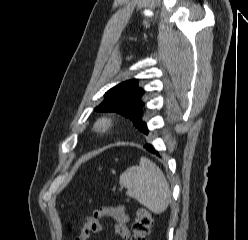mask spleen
Returning <instances> with one entry per match:
<instances>
[{
    "instance_id": "1",
    "label": "spleen",
    "mask_w": 248,
    "mask_h": 240,
    "mask_svg": "<svg viewBox=\"0 0 248 240\" xmlns=\"http://www.w3.org/2000/svg\"><path fill=\"white\" fill-rule=\"evenodd\" d=\"M120 185L127 189V196L155 214L163 213L171 202L169 184L163 172L145 157H141L139 166H132L120 175Z\"/></svg>"
}]
</instances>
